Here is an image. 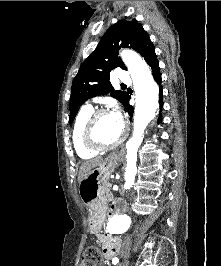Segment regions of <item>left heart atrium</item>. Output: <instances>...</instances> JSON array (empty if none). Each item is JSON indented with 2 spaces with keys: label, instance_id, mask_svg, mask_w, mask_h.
<instances>
[{
  "label": "left heart atrium",
  "instance_id": "left-heart-atrium-1",
  "mask_svg": "<svg viewBox=\"0 0 221 266\" xmlns=\"http://www.w3.org/2000/svg\"><path fill=\"white\" fill-rule=\"evenodd\" d=\"M111 115L116 121L122 124V113L119 108H114Z\"/></svg>",
  "mask_w": 221,
  "mask_h": 266
}]
</instances>
